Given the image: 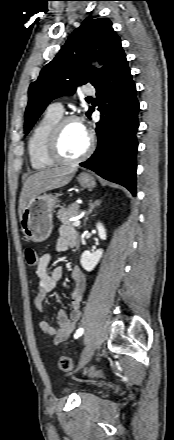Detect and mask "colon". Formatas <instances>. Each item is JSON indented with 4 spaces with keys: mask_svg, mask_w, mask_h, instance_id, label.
Here are the masks:
<instances>
[{
    "mask_svg": "<svg viewBox=\"0 0 174 440\" xmlns=\"http://www.w3.org/2000/svg\"><path fill=\"white\" fill-rule=\"evenodd\" d=\"M24 256H25L26 263L29 267H34L37 265L38 257H37V253H36L35 249L26 248L24 250ZM59 368L66 373H71L74 370V364L69 357L62 356L59 359ZM84 374L91 376V377H101L102 376V373L100 371L95 370V369L86 370V371H84Z\"/></svg>",
    "mask_w": 174,
    "mask_h": 440,
    "instance_id": "colon-1",
    "label": "colon"
}]
</instances>
